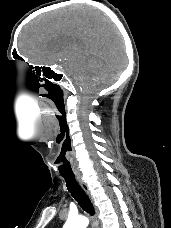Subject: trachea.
<instances>
[{
  "label": "trachea",
  "instance_id": "obj_1",
  "mask_svg": "<svg viewBox=\"0 0 171 228\" xmlns=\"http://www.w3.org/2000/svg\"><path fill=\"white\" fill-rule=\"evenodd\" d=\"M66 181L67 189L71 193L72 197L78 202L81 208L89 213L91 216L94 215V208L92 203L85 193V191L81 188L78 182L73 175H62Z\"/></svg>",
  "mask_w": 171,
  "mask_h": 228
}]
</instances>
